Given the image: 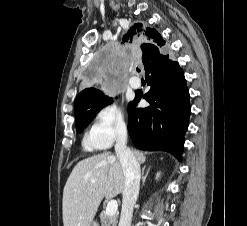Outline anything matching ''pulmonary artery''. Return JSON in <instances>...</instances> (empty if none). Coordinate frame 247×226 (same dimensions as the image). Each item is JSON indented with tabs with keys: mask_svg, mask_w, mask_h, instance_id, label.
<instances>
[{
	"mask_svg": "<svg viewBox=\"0 0 247 226\" xmlns=\"http://www.w3.org/2000/svg\"><path fill=\"white\" fill-rule=\"evenodd\" d=\"M139 85H140L139 82L136 81L135 79H132V80L130 81V86H131L132 88H134V89L138 88Z\"/></svg>",
	"mask_w": 247,
	"mask_h": 226,
	"instance_id": "1",
	"label": "pulmonary artery"
}]
</instances>
